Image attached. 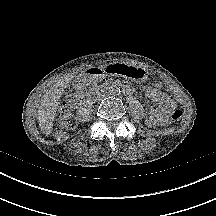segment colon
<instances>
[{
    "instance_id": "colon-1",
    "label": "colon",
    "mask_w": 216,
    "mask_h": 216,
    "mask_svg": "<svg viewBox=\"0 0 216 216\" xmlns=\"http://www.w3.org/2000/svg\"><path fill=\"white\" fill-rule=\"evenodd\" d=\"M182 118V112L178 109L174 110L171 114V120L178 122ZM58 123L63 130H73L77 126V120L73 114L72 106L66 102L62 104L58 110Z\"/></svg>"
}]
</instances>
